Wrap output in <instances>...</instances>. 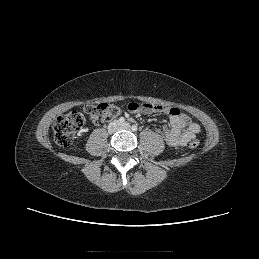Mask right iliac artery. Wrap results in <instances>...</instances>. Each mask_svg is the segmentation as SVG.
<instances>
[{"label":"right iliac artery","instance_id":"obj_1","mask_svg":"<svg viewBox=\"0 0 259 259\" xmlns=\"http://www.w3.org/2000/svg\"><path fill=\"white\" fill-rule=\"evenodd\" d=\"M118 121L119 123L123 124L125 122V119L123 117H120Z\"/></svg>","mask_w":259,"mask_h":259}]
</instances>
